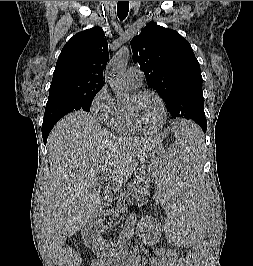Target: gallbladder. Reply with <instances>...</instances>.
<instances>
[{"label": "gallbladder", "mask_w": 253, "mask_h": 266, "mask_svg": "<svg viewBox=\"0 0 253 266\" xmlns=\"http://www.w3.org/2000/svg\"><path fill=\"white\" fill-rule=\"evenodd\" d=\"M89 228H91V224H90V223H88L84 228L81 229V234L84 235V232H85L87 229H89Z\"/></svg>", "instance_id": "obj_1"}]
</instances>
